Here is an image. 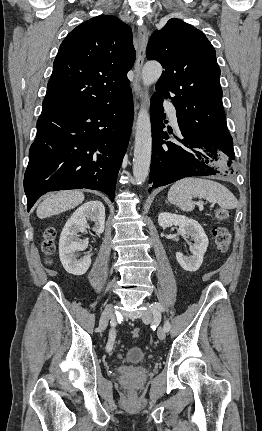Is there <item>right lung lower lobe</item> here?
Returning <instances> with one entry per match:
<instances>
[{"label":"right lung lower lobe","instance_id":"1","mask_svg":"<svg viewBox=\"0 0 262 431\" xmlns=\"http://www.w3.org/2000/svg\"><path fill=\"white\" fill-rule=\"evenodd\" d=\"M132 121L131 90L107 106L42 111L24 176L27 210L64 189L100 190L113 202Z\"/></svg>","mask_w":262,"mask_h":431}]
</instances>
